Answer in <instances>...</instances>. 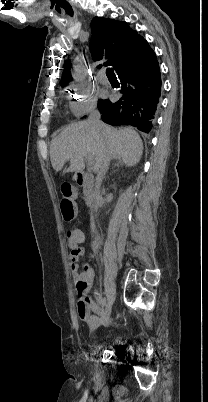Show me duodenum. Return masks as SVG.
<instances>
[{"label":"duodenum","mask_w":208,"mask_h":402,"mask_svg":"<svg viewBox=\"0 0 208 402\" xmlns=\"http://www.w3.org/2000/svg\"><path fill=\"white\" fill-rule=\"evenodd\" d=\"M76 181L78 185L84 189V199L87 204L93 201V178L90 174L84 171H79L76 174Z\"/></svg>","instance_id":"410a0bca"}]
</instances>
